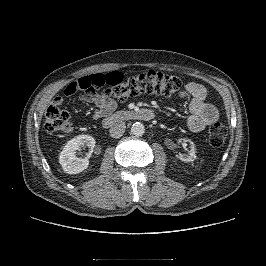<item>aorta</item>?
I'll return each mask as SVG.
<instances>
[{"label": "aorta", "mask_w": 266, "mask_h": 266, "mask_svg": "<svg viewBox=\"0 0 266 266\" xmlns=\"http://www.w3.org/2000/svg\"><path fill=\"white\" fill-rule=\"evenodd\" d=\"M145 132V127L142 123L136 122L131 127V133L135 136H142Z\"/></svg>", "instance_id": "obj_1"}]
</instances>
